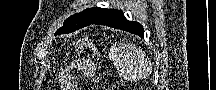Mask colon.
I'll use <instances>...</instances> for the list:
<instances>
[{
	"mask_svg": "<svg viewBox=\"0 0 216 90\" xmlns=\"http://www.w3.org/2000/svg\"><path fill=\"white\" fill-rule=\"evenodd\" d=\"M77 45H79L80 47H85L86 45V41L85 40H79L76 42ZM96 58V55H95Z\"/></svg>",
	"mask_w": 216,
	"mask_h": 90,
	"instance_id": "colon-1",
	"label": "colon"
}]
</instances>
